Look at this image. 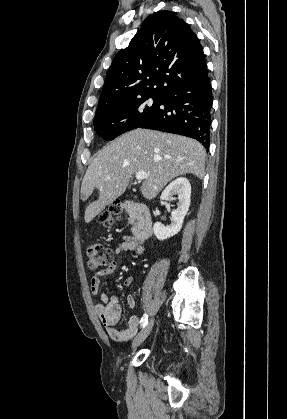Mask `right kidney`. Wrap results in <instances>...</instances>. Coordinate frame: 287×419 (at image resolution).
<instances>
[{"instance_id":"right-kidney-1","label":"right kidney","mask_w":287,"mask_h":419,"mask_svg":"<svg viewBox=\"0 0 287 419\" xmlns=\"http://www.w3.org/2000/svg\"><path fill=\"white\" fill-rule=\"evenodd\" d=\"M173 195H178L177 208L172 211L171 224L164 226L156 222L153 226L154 235L158 240H165L176 235L182 228L184 217L190 206L191 185L184 177L172 181L162 192L160 200H172Z\"/></svg>"}]
</instances>
